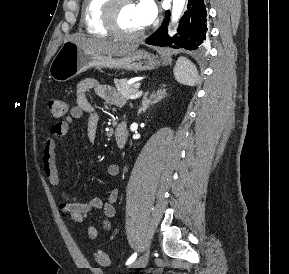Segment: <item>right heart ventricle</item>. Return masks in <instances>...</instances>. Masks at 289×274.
<instances>
[{"mask_svg": "<svg viewBox=\"0 0 289 274\" xmlns=\"http://www.w3.org/2000/svg\"><path fill=\"white\" fill-rule=\"evenodd\" d=\"M108 0H84L82 19L86 31L90 34L107 37L110 35L103 24V9Z\"/></svg>", "mask_w": 289, "mask_h": 274, "instance_id": "1", "label": "right heart ventricle"}]
</instances>
